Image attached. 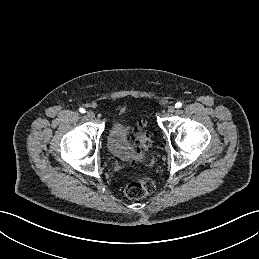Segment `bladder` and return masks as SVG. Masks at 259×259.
<instances>
[{
	"instance_id": "obj_1",
	"label": "bladder",
	"mask_w": 259,
	"mask_h": 259,
	"mask_svg": "<svg viewBox=\"0 0 259 259\" xmlns=\"http://www.w3.org/2000/svg\"><path fill=\"white\" fill-rule=\"evenodd\" d=\"M106 147L112 156L121 160L146 158L145 154L137 152L131 139V125L123 113L114 119L106 135Z\"/></svg>"
}]
</instances>
